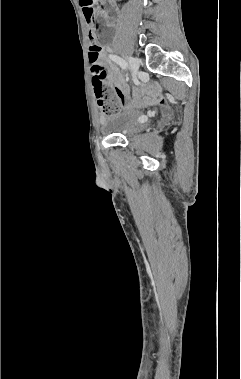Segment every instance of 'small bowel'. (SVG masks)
<instances>
[{"label": "small bowel", "mask_w": 241, "mask_h": 379, "mask_svg": "<svg viewBox=\"0 0 241 379\" xmlns=\"http://www.w3.org/2000/svg\"><path fill=\"white\" fill-rule=\"evenodd\" d=\"M105 80L114 88L116 95L121 99L123 108H139L164 101L162 92L155 87L141 85L133 90V98L129 100V88L120 74L118 69L111 65L108 68V74L105 70Z\"/></svg>", "instance_id": "small-bowel-1"}]
</instances>
